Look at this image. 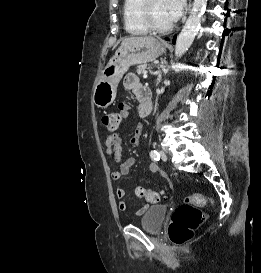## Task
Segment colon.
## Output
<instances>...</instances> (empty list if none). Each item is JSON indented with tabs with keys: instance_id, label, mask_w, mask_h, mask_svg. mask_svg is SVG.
<instances>
[{
	"instance_id": "1",
	"label": "colon",
	"mask_w": 261,
	"mask_h": 273,
	"mask_svg": "<svg viewBox=\"0 0 261 273\" xmlns=\"http://www.w3.org/2000/svg\"><path fill=\"white\" fill-rule=\"evenodd\" d=\"M122 119L121 112L106 113L102 116V123L109 130H116ZM137 197L149 203H158L163 199L161 192L137 187L135 189ZM210 204L214 206V200L204 194H191L186 197L185 203L179 206L172 215V222L168 229L169 238L176 245H183L194 234V231L206 219L205 214L198 207Z\"/></svg>"
}]
</instances>
